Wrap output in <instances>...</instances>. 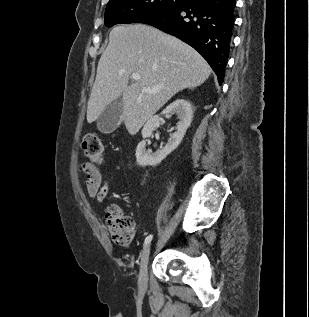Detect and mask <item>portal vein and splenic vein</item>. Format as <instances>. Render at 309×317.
<instances>
[{
  "instance_id": "obj_1",
  "label": "portal vein and splenic vein",
  "mask_w": 309,
  "mask_h": 317,
  "mask_svg": "<svg viewBox=\"0 0 309 317\" xmlns=\"http://www.w3.org/2000/svg\"><path fill=\"white\" fill-rule=\"evenodd\" d=\"M131 78H132L133 80H138V79H140V75H139L138 73H133L132 76H131ZM142 90L145 91V92H149V93H156V92L159 91V88L149 89V88L143 87Z\"/></svg>"
}]
</instances>
